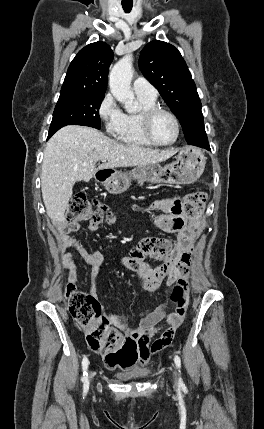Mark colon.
<instances>
[{"instance_id": "1", "label": "colon", "mask_w": 264, "mask_h": 429, "mask_svg": "<svg viewBox=\"0 0 264 429\" xmlns=\"http://www.w3.org/2000/svg\"><path fill=\"white\" fill-rule=\"evenodd\" d=\"M206 193L192 192L185 196L180 210L188 218L193 230L198 229L205 208ZM67 218L70 222L94 220L112 221L113 215L103 206L93 207L83 194H76L69 202ZM69 310L74 324L85 332L88 347L105 355L109 368L126 370L137 359V343L101 314L98 301L88 293L78 291L73 283L66 288ZM171 300L175 310L183 313L187 304L185 286L178 282L172 289Z\"/></svg>"}]
</instances>
